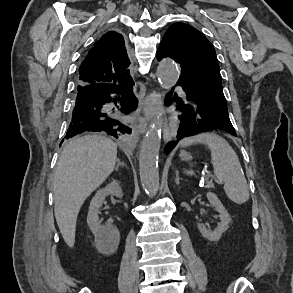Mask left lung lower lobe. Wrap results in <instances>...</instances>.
Here are the masks:
<instances>
[{
  "mask_svg": "<svg viewBox=\"0 0 293 293\" xmlns=\"http://www.w3.org/2000/svg\"><path fill=\"white\" fill-rule=\"evenodd\" d=\"M184 92V96L173 92L166 96V102L175 105L180 119L177 141L167 144L166 153H169L180 139L201 132L223 131L236 136L235 129L229 119L227 107L207 102L191 91L184 90Z\"/></svg>",
  "mask_w": 293,
  "mask_h": 293,
  "instance_id": "obj_1",
  "label": "left lung lower lobe"
}]
</instances>
